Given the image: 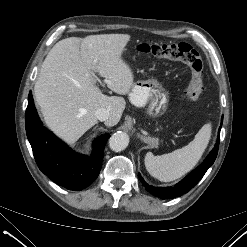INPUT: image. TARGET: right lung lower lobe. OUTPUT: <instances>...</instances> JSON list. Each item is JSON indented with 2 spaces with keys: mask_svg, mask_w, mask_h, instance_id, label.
<instances>
[{
  "mask_svg": "<svg viewBox=\"0 0 247 247\" xmlns=\"http://www.w3.org/2000/svg\"><path fill=\"white\" fill-rule=\"evenodd\" d=\"M25 122L35 161L39 169L53 182L66 189L79 191L96 180L109 134L94 141V152L91 156L74 152L43 126L35 109L31 91Z\"/></svg>",
  "mask_w": 247,
  "mask_h": 247,
  "instance_id": "right-lung-lower-lobe-1",
  "label": "right lung lower lobe"
}]
</instances>
